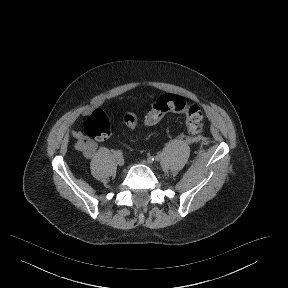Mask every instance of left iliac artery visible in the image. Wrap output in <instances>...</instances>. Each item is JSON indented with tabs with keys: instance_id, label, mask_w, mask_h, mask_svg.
<instances>
[{
	"instance_id": "44dca946",
	"label": "left iliac artery",
	"mask_w": 288,
	"mask_h": 288,
	"mask_svg": "<svg viewBox=\"0 0 288 288\" xmlns=\"http://www.w3.org/2000/svg\"><path fill=\"white\" fill-rule=\"evenodd\" d=\"M152 160H153V161H159V156H157V155L154 156V157L152 158Z\"/></svg>"
}]
</instances>
